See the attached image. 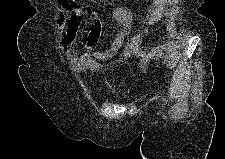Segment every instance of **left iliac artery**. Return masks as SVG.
Here are the masks:
<instances>
[{"mask_svg": "<svg viewBox=\"0 0 225 159\" xmlns=\"http://www.w3.org/2000/svg\"><path fill=\"white\" fill-rule=\"evenodd\" d=\"M162 100L165 101L164 97H162Z\"/></svg>", "mask_w": 225, "mask_h": 159, "instance_id": "left-iliac-artery-1", "label": "left iliac artery"}]
</instances>
